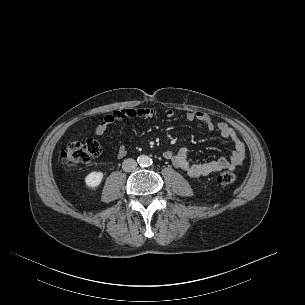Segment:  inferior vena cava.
<instances>
[{"label": "inferior vena cava", "mask_w": 305, "mask_h": 305, "mask_svg": "<svg viewBox=\"0 0 305 305\" xmlns=\"http://www.w3.org/2000/svg\"><path fill=\"white\" fill-rule=\"evenodd\" d=\"M137 167V163L134 159L128 158L126 160L123 161L122 163V169L125 172H131L133 170H135Z\"/></svg>", "instance_id": "1"}]
</instances>
